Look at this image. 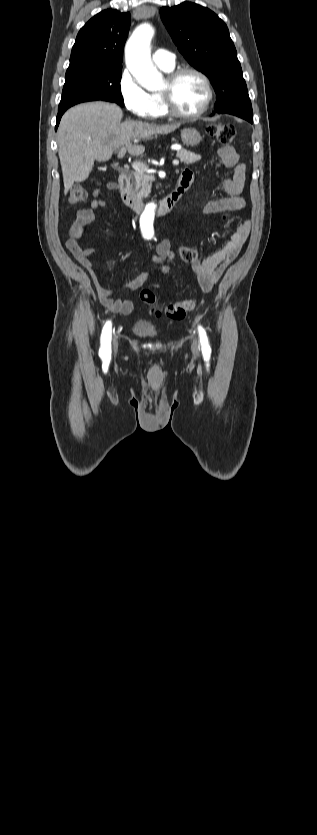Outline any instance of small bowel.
Instances as JSON below:
<instances>
[{
  "label": "small bowel",
  "mask_w": 317,
  "mask_h": 835,
  "mask_svg": "<svg viewBox=\"0 0 317 835\" xmlns=\"http://www.w3.org/2000/svg\"><path fill=\"white\" fill-rule=\"evenodd\" d=\"M218 155L225 167L233 169V175L230 178L223 179L221 182L226 196L210 200L203 206L202 211L207 215L223 211L242 210L246 205L244 198L241 196L246 182V167L239 162V154L232 146H225L218 150ZM194 177V172L187 168L183 170L180 179L187 182L190 186L194 181ZM107 187L110 190L116 189L113 182H110ZM106 205V201L100 197V189H96L93 192V198L89 207L78 210L73 219L69 230L67 247L88 271L101 304L111 312L128 315L134 307L132 300L127 298H114L112 296V292L101 284L93 266L91 258L95 252L94 249L92 247L81 248L79 245L85 229L95 220V211L98 208L106 207ZM249 229V220H244L237 227L223 249L204 260L199 259L197 256L188 261L204 292H209L214 287L227 267L237 257L248 237ZM157 253L158 256L151 262V267L155 269L153 280L160 278L164 272V262L174 255L171 244L167 239L159 243ZM150 275L151 269H146L133 280L122 284L121 288L135 291L150 278Z\"/></svg>",
  "instance_id": "1"
}]
</instances>
